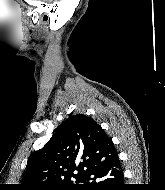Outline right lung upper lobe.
<instances>
[{
  "instance_id": "obj_1",
  "label": "right lung upper lobe",
  "mask_w": 165,
  "mask_h": 190,
  "mask_svg": "<svg viewBox=\"0 0 165 190\" xmlns=\"http://www.w3.org/2000/svg\"><path fill=\"white\" fill-rule=\"evenodd\" d=\"M116 153L111 139L93 119L72 115L42 149L30 155L19 189L53 190L76 185L72 178L80 182L87 170Z\"/></svg>"
}]
</instances>
